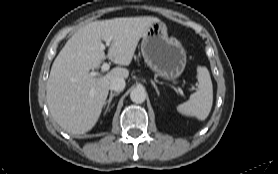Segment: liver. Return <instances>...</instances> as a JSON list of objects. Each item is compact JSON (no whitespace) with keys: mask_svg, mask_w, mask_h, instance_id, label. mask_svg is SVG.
I'll list each match as a JSON object with an SVG mask.
<instances>
[{"mask_svg":"<svg viewBox=\"0 0 278 174\" xmlns=\"http://www.w3.org/2000/svg\"><path fill=\"white\" fill-rule=\"evenodd\" d=\"M156 17H120L94 21L75 32L55 58L46 86L49 111L68 133L84 134L97 123L114 78H127L126 68L90 76L106 58L102 41L109 43L107 58L115 64L131 63L137 44Z\"/></svg>","mask_w":278,"mask_h":174,"instance_id":"1","label":"liver"}]
</instances>
